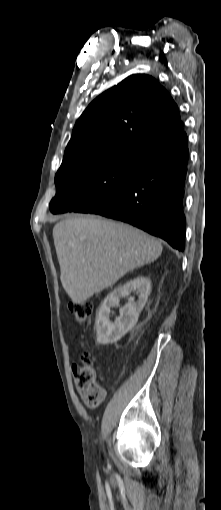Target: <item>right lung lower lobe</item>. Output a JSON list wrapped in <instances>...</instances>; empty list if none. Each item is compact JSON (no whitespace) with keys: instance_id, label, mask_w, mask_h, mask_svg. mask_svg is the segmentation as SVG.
Masks as SVG:
<instances>
[{"instance_id":"right-lung-lower-lobe-1","label":"right lung lower lobe","mask_w":221,"mask_h":510,"mask_svg":"<svg viewBox=\"0 0 221 510\" xmlns=\"http://www.w3.org/2000/svg\"><path fill=\"white\" fill-rule=\"evenodd\" d=\"M187 144L185 133L154 146L133 179L116 197L75 212L127 222L182 251L186 228L183 197L189 158Z\"/></svg>"}]
</instances>
